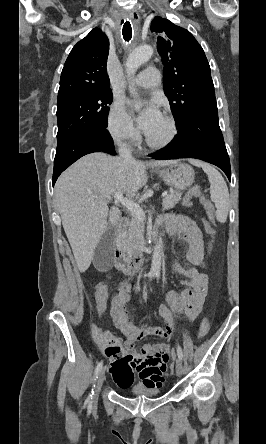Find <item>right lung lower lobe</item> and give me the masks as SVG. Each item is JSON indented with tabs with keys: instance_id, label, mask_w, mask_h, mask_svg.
Segmentation results:
<instances>
[{
	"instance_id": "obj_1",
	"label": "right lung lower lobe",
	"mask_w": 266,
	"mask_h": 444,
	"mask_svg": "<svg viewBox=\"0 0 266 444\" xmlns=\"http://www.w3.org/2000/svg\"><path fill=\"white\" fill-rule=\"evenodd\" d=\"M93 152L116 154L113 140L106 129H97L80 134L56 150L53 185L67 167L80 157Z\"/></svg>"
}]
</instances>
